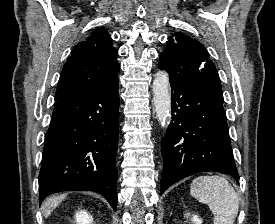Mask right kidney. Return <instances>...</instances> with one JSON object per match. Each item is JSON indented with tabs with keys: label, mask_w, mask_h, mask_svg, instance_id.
<instances>
[{
	"label": "right kidney",
	"mask_w": 275,
	"mask_h": 224,
	"mask_svg": "<svg viewBox=\"0 0 275 224\" xmlns=\"http://www.w3.org/2000/svg\"><path fill=\"white\" fill-rule=\"evenodd\" d=\"M75 219L77 224H92L93 218L85 210H80L76 213Z\"/></svg>",
	"instance_id": "1"
}]
</instances>
